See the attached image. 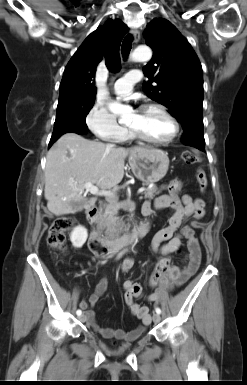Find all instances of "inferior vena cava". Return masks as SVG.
Returning a JSON list of instances; mask_svg holds the SVG:
<instances>
[{
  "instance_id": "602c4592",
  "label": "inferior vena cava",
  "mask_w": 247,
  "mask_h": 385,
  "mask_svg": "<svg viewBox=\"0 0 247 385\" xmlns=\"http://www.w3.org/2000/svg\"><path fill=\"white\" fill-rule=\"evenodd\" d=\"M111 213L116 212V207L113 203L110 204Z\"/></svg>"
}]
</instances>
